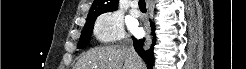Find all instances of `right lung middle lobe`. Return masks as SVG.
<instances>
[{"label":"right lung middle lobe","mask_w":246,"mask_h":69,"mask_svg":"<svg viewBox=\"0 0 246 69\" xmlns=\"http://www.w3.org/2000/svg\"><path fill=\"white\" fill-rule=\"evenodd\" d=\"M95 20L86 21L77 48L82 49L89 45Z\"/></svg>","instance_id":"right-lung-middle-lobe-1"}]
</instances>
